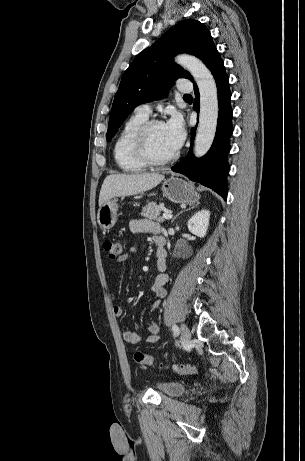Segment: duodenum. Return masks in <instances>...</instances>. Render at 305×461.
<instances>
[{"label":"duodenum","instance_id":"1","mask_svg":"<svg viewBox=\"0 0 305 461\" xmlns=\"http://www.w3.org/2000/svg\"><path fill=\"white\" fill-rule=\"evenodd\" d=\"M156 243L159 249H164L166 240L163 236L159 235L158 237H156Z\"/></svg>","mask_w":305,"mask_h":461}]
</instances>
